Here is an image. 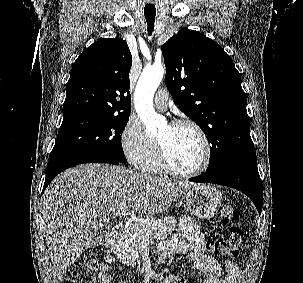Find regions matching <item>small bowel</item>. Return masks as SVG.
I'll return each mask as SVG.
<instances>
[{
  "label": "small bowel",
  "mask_w": 303,
  "mask_h": 283,
  "mask_svg": "<svg viewBox=\"0 0 303 283\" xmlns=\"http://www.w3.org/2000/svg\"><path fill=\"white\" fill-rule=\"evenodd\" d=\"M189 254L199 270L198 279L202 283H237L241 277L239 266L233 261L224 263L226 275L221 278L222 266L211 255L206 253L204 237L198 224L190 217H182L172 240L162 243L158 248V260L164 261L170 255ZM116 262L113 255L105 257L99 265L97 280L99 283H110L108 271L110 265ZM161 283H182V279L169 275Z\"/></svg>",
  "instance_id": "obj_1"
}]
</instances>
